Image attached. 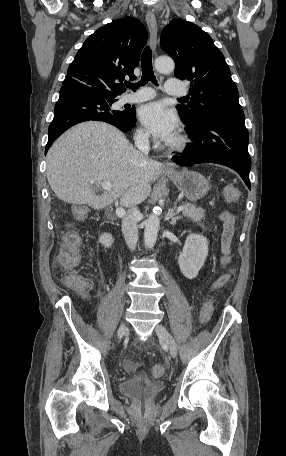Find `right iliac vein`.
Wrapping results in <instances>:
<instances>
[{
	"label": "right iliac vein",
	"mask_w": 286,
	"mask_h": 456,
	"mask_svg": "<svg viewBox=\"0 0 286 456\" xmlns=\"http://www.w3.org/2000/svg\"><path fill=\"white\" fill-rule=\"evenodd\" d=\"M126 332H127L126 324H125V322H122L117 331L118 339L121 340L123 338V336L126 334Z\"/></svg>",
	"instance_id": "obj_1"
}]
</instances>
